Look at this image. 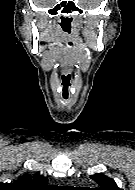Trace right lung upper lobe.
I'll return each mask as SVG.
<instances>
[{"label": "right lung upper lobe", "mask_w": 135, "mask_h": 190, "mask_svg": "<svg viewBox=\"0 0 135 190\" xmlns=\"http://www.w3.org/2000/svg\"><path fill=\"white\" fill-rule=\"evenodd\" d=\"M47 181V178L40 174H35L33 179L25 175L13 182L10 187L15 190H45L49 187Z\"/></svg>", "instance_id": "1"}]
</instances>
